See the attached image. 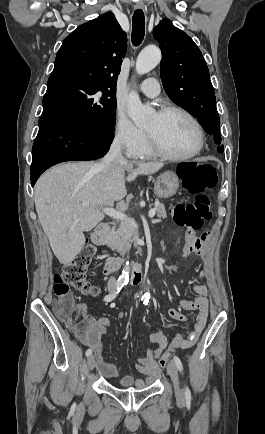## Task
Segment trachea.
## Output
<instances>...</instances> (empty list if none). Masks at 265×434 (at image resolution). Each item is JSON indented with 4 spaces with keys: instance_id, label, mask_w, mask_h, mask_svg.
<instances>
[{
    "instance_id": "1",
    "label": "trachea",
    "mask_w": 265,
    "mask_h": 434,
    "mask_svg": "<svg viewBox=\"0 0 265 434\" xmlns=\"http://www.w3.org/2000/svg\"><path fill=\"white\" fill-rule=\"evenodd\" d=\"M145 35V17L142 10H135L132 20V42L139 45Z\"/></svg>"
}]
</instances>
